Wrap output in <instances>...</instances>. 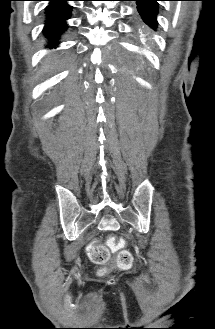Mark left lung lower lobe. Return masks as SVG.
<instances>
[{
	"instance_id": "1",
	"label": "left lung lower lobe",
	"mask_w": 215,
	"mask_h": 329,
	"mask_svg": "<svg viewBox=\"0 0 215 329\" xmlns=\"http://www.w3.org/2000/svg\"><path fill=\"white\" fill-rule=\"evenodd\" d=\"M137 2V9L144 22L156 26V15L158 10V1L162 0H134Z\"/></svg>"
}]
</instances>
